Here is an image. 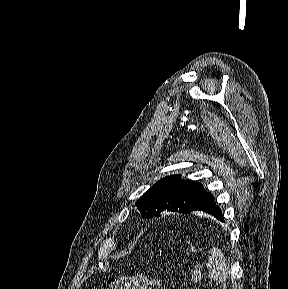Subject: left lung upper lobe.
<instances>
[{
	"label": "left lung upper lobe",
	"mask_w": 288,
	"mask_h": 289,
	"mask_svg": "<svg viewBox=\"0 0 288 289\" xmlns=\"http://www.w3.org/2000/svg\"><path fill=\"white\" fill-rule=\"evenodd\" d=\"M179 178V174L167 176L140 197L136 206L143 217H158L166 210L190 213L207 194L201 183Z\"/></svg>",
	"instance_id": "left-lung-upper-lobe-1"
}]
</instances>
